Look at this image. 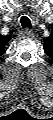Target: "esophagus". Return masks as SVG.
Listing matches in <instances>:
<instances>
[{"instance_id":"1","label":"esophagus","mask_w":53,"mask_h":120,"mask_svg":"<svg viewBox=\"0 0 53 120\" xmlns=\"http://www.w3.org/2000/svg\"><path fill=\"white\" fill-rule=\"evenodd\" d=\"M20 34H21V37H23V38H33L34 37L33 32L29 29H24Z\"/></svg>"}]
</instances>
